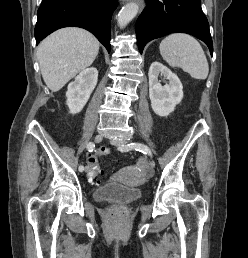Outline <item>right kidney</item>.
<instances>
[{"mask_svg":"<svg viewBox=\"0 0 248 258\" xmlns=\"http://www.w3.org/2000/svg\"><path fill=\"white\" fill-rule=\"evenodd\" d=\"M98 80V71L94 67L84 69L68 85L66 104L71 114L79 113L86 105Z\"/></svg>","mask_w":248,"mask_h":258,"instance_id":"right-kidney-1","label":"right kidney"}]
</instances>
